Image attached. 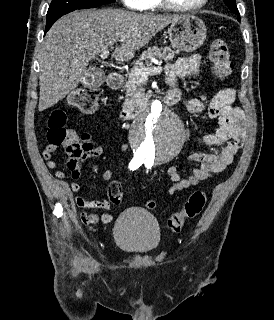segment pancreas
I'll return each mask as SVG.
<instances>
[{
	"label": "pancreas",
	"instance_id": "cf45deb5",
	"mask_svg": "<svg viewBox=\"0 0 274 320\" xmlns=\"http://www.w3.org/2000/svg\"><path fill=\"white\" fill-rule=\"evenodd\" d=\"M175 54H178V52H174V50H171L168 46H165V48L152 46V48H147L146 52H143L141 58L137 60L136 66H134L126 76L124 90H126L128 98H126L122 106L123 110H129V112H131V110L132 112L133 110H137L135 100H138V98H135V96L140 92V82L134 74L135 70H141V68H149V66H152L153 62H151V58L170 62V60H173ZM142 60H146V62L143 64Z\"/></svg>",
	"mask_w": 274,
	"mask_h": 320
}]
</instances>
